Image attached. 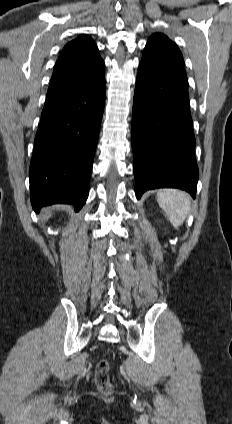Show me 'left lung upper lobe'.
<instances>
[{
    "label": "left lung upper lobe",
    "instance_id": "1",
    "mask_svg": "<svg viewBox=\"0 0 232 424\" xmlns=\"http://www.w3.org/2000/svg\"><path fill=\"white\" fill-rule=\"evenodd\" d=\"M140 64L151 67H183L184 60L174 42L162 33H155L149 38L145 46Z\"/></svg>",
    "mask_w": 232,
    "mask_h": 424
}]
</instances>
